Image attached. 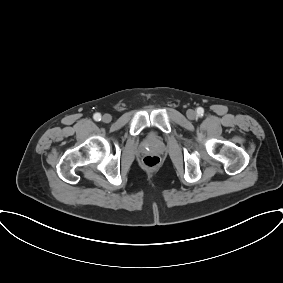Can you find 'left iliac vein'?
<instances>
[{"label": "left iliac vein", "instance_id": "left-iliac-vein-1", "mask_svg": "<svg viewBox=\"0 0 283 283\" xmlns=\"http://www.w3.org/2000/svg\"><path fill=\"white\" fill-rule=\"evenodd\" d=\"M186 114H187V117L190 120H193V119L196 118V112L194 110H192V109H189Z\"/></svg>", "mask_w": 283, "mask_h": 283}]
</instances>
